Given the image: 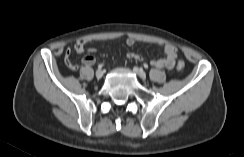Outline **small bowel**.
<instances>
[{
  "mask_svg": "<svg viewBox=\"0 0 244 157\" xmlns=\"http://www.w3.org/2000/svg\"><path fill=\"white\" fill-rule=\"evenodd\" d=\"M136 43V40L134 38H128L126 40V44L128 46H133ZM88 44V40L86 39H80L78 40L74 46H73V50L78 53L81 54L84 52L86 45ZM89 52H94L95 48H89L88 49ZM163 51L165 56L161 59L158 60H151L150 64L156 68H166V69H172L175 65L176 59H177V49L170 44H164L163 45ZM72 54V49L68 48L66 50L65 53V64L71 69V70H76L78 68V66L74 63L71 62L70 60V56ZM127 57L131 60H135V61H141L142 57L134 52H130L128 53ZM95 57L88 54L85 55L82 59V63L86 66H91L95 63Z\"/></svg>",
  "mask_w": 244,
  "mask_h": 157,
  "instance_id": "obj_1",
  "label": "small bowel"
}]
</instances>
